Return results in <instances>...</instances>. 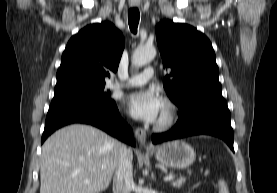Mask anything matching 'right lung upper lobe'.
Masks as SVG:
<instances>
[{"mask_svg":"<svg viewBox=\"0 0 277 193\" xmlns=\"http://www.w3.org/2000/svg\"><path fill=\"white\" fill-rule=\"evenodd\" d=\"M121 32L110 22L86 26L68 42L57 71L55 94L105 85L124 49Z\"/></svg>","mask_w":277,"mask_h":193,"instance_id":"cb5924a9","label":"right lung upper lobe"}]
</instances>
